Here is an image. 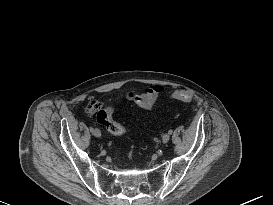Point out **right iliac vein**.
Listing matches in <instances>:
<instances>
[{"mask_svg":"<svg viewBox=\"0 0 273 205\" xmlns=\"http://www.w3.org/2000/svg\"><path fill=\"white\" fill-rule=\"evenodd\" d=\"M92 134H93L94 136H96V137H100V136H101V132H100L99 129H94L93 132H92Z\"/></svg>","mask_w":273,"mask_h":205,"instance_id":"1","label":"right iliac vein"}]
</instances>
